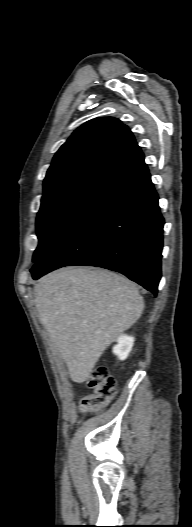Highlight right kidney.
I'll list each match as a JSON object with an SVG mask.
<instances>
[{
	"mask_svg": "<svg viewBox=\"0 0 192 527\" xmlns=\"http://www.w3.org/2000/svg\"><path fill=\"white\" fill-rule=\"evenodd\" d=\"M117 342V345L113 347V353L120 360H125L133 347L134 337L123 335L118 338Z\"/></svg>",
	"mask_w": 192,
	"mask_h": 527,
	"instance_id": "1",
	"label": "right kidney"
}]
</instances>
